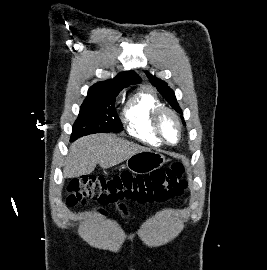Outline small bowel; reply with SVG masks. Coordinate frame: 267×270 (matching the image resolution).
<instances>
[{"mask_svg":"<svg viewBox=\"0 0 267 270\" xmlns=\"http://www.w3.org/2000/svg\"><path fill=\"white\" fill-rule=\"evenodd\" d=\"M121 209H122L123 211H125V207H124L123 205H121ZM100 213H101V214H104V212H103L102 210H100Z\"/></svg>","mask_w":267,"mask_h":270,"instance_id":"1","label":"small bowel"}]
</instances>
